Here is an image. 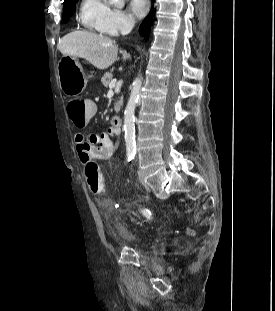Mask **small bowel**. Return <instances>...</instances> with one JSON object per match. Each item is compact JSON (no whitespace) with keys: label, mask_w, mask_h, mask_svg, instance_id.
<instances>
[{"label":"small bowel","mask_w":275,"mask_h":311,"mask_svg":"<svg viewBox=\"0 0 275 311\" xmlns=\"http://www.w3.org/2000/svg\"><path fill=\"white\" fill-rule=\"evenodd\" d=\"M120 133L121 129L113 124L101 134L75 133L74 144L81 163L86 166L92 161L109 160L119 147Z\"/></svg>","instance_id":"small-bowel-1"}]
</instances>
